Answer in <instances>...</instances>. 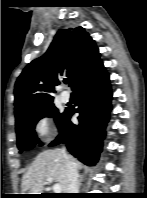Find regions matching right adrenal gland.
<instances>
[{
  "instance_id": "2a0ac1e0",
  "label": "right adrenal gland",
  "mask_w": 147,
  "mask_h": 198,
  "mask_svg": "<svg viewBox=\"0 0 147 198\" xmlns=\"http://www.w3.org/2000/svg\"><path fill=\"white\" fill-rule=\"evenodd\" d=\"M82 180H83V175H80V179H79V186L82 185Z\"/></svg>"
}]
</instances>
